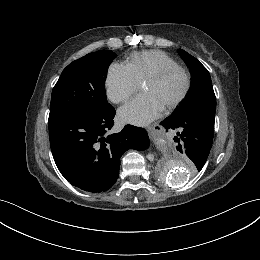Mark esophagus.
<instances>
[{
    "mask_svg": "<svg viewBox=\"0 0 260 260\" xmlns=\"http://www.w3.org/2000/svg\"><path fill=\"white\" fill-rule=\"evenodd\" d=\"M159 131H160V126L157 123H155L154 125L148 128V132L151 136L158 133Z\"/></svg>",
    "mask_w": 260,
    "mask_h": 260,
    "instance_id": "obj_1",
    "label": "esophagus"
}]
</instances>
